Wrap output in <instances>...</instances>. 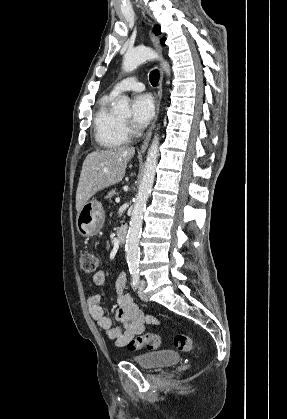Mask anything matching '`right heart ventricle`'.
Wrapping results in <instances>:
<instances>
[{
    "mask_svg": "<svg viewBox=\"0 0 287 419\" xmlns=\"http://www.w3.org/2000/svg\"><path fill=\"white\" fill-rule=\"evenodd\" d=\"M113 99L111 94L102 96L93 117L94 137L103 148H117L128 141L122 121L110 110Z\"/></svg>",
    "mask_w": 287,
    "mask_h": 419,
    "instance_id": "1",
    "label": "right heart ventricle"
}]
</instances>
